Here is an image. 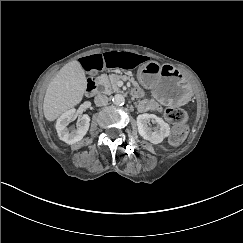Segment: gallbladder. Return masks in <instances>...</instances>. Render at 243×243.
I'll return each instance as SVG.
<instances>
[{"label":"gallbladder","instance_id":"1","mask_svg":"<svg viewBox=\"0 0 243 243\" xmlns=\"http://www.w3.org/2000/svg\"><path fill=\"white\" fill-rule=\"evenodd\" d=\"M89 74L90 75H95L96 74V69L95 68H90L89 69Z\"/></svg>","mask_w":243,"mask_h":243}]
</instances>
